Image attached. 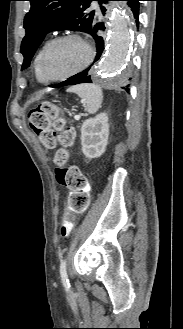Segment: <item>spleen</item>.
<instances>
[{
  "mask_svg": "<svg viewBox=\"0 0 183 329\" xmlns=\"http://www.w3.org/2000/svg\"><path fill=\"white\" fill-rule=\"evenodd\" d=\"M68 92L76 93L86 105L88 113L94 114L101 107L103 100L102 89L94 84H80L70 87Z\"/></svg>",
  "mask_w": 183,
  "mask_h": 329,
  "instance_id": "spleen-1",
  "label": "spleen"
}]
</instances>
